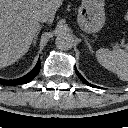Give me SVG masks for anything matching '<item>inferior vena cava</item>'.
I'll return each instance as SVG.
<instances>
[{
  "instance_id": "obj_1",
  "label": "inferior vena cava",
  "mask_w": 128,
  "mask_h": 128,
  "mask_svg": "<svg viewBox=\"0 0 128 128\" xmlns=\"http://www.w3.org/2000/svg\"><path fill=\"white\" fill-rule=\"evenodd\" d=\"M49 15L48 14H46V13H40L38 16H37V20L39 21V22H47V21H49Z\"/></svg>"
}]
</instances>
